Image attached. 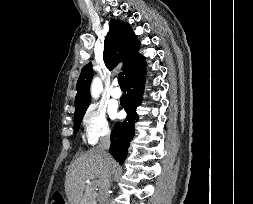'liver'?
Wrapping results in <instances>:
<instances>
[{"label": "liver", "mask_w": 253, "mask_h": 204, "mask_svg": "<svg viewBox=\"0 0 253 204\" xmlns=\"http://www.w3.org/2000/svg\"><path fill=\"white\" fill-rule=\"evenodd\" d=\"M104 168L105 159L97 148L90 149L71 164L65 178L69 204H82L86 180L98 178L101 181Z\"/></svg>", "instance_id": "liver-1"}]
</instances>
